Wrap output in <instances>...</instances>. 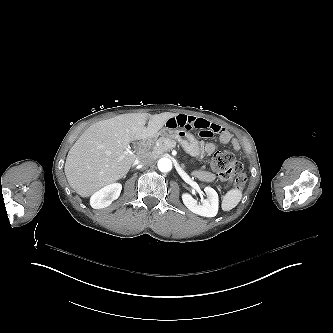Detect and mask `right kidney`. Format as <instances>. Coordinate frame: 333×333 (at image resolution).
Segmentation results:
<instances>
[{
  "mask_svg": "<svg viewBox=\"0 0 333 333\" xmlns=\"http://www.w3.org/2000/svg\"><path fill=\"white\" fill-rule=\"evenodd\" d=\"M121 189L122 185L120 183H112L101 188L91 196V207L94 209L108 207L114 200L119 197Z\"/></svg>",
  "mask_w": 333,
  "mask_h": 333,
  "instance_id": "right-kidney-1",
  "label": "right kidney"
}]
</instances>
